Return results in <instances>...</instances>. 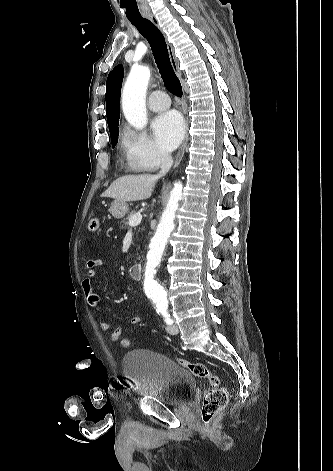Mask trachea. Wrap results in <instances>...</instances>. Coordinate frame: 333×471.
Segmentation results:
<instances>
[{
  "label": "trachea",
  "instance_id": "3493384b",
  "mask_svg": "<svg viewBox=\"0 0 333 471\" xmlns=\"http://www.w3.org/2000/svg\"><path fill=\"white\" fill-rule=\"evenodd\" d=\"M130 22L148 40L165 86L172 94L181 97V83L171 65L165 38L161 31L148 19L130 20Z\"/></svg>",
  "mask_w": 333,
  "mask_h": 471
}]
</instances>
